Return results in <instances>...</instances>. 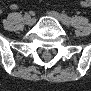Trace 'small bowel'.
Masks as SVG:
<instances>
[{
    "instance_id": "1",
    "label": "small bowel",
    "mask_w": 91,
    "mask_h": 91,
    "mask_svg": "<svg viewBox=\"0 0 91 91\" xmlns=\"http://www.w3.org/2000/svg\"><path fill=\"white\" fill-rule=\"evenodd\" d=\"M82 6L83 7H89L90 6V2L85 0V1L82 2Z\"/></svg>"
}]
</instances>
